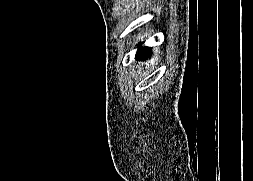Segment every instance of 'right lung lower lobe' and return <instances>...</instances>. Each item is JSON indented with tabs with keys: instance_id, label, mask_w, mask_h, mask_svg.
Masks as SVG:
<instances>
[{
	"instance_id": "1",
	"label": "right lung lower lobe",
	"mask_w": 253,
	"mask_h": 181,
	"mask_svg": "<svg viewBox=\"0 0 253 181\" xmlns=\"http://www.w3.org/2000/svg\"><path fill=\"white\" fill-rule=\"evenodd\" d=\"M152 54L151 49L148 47H141L137 52V59H145Z\"/></svg>"
}]
</instances>
